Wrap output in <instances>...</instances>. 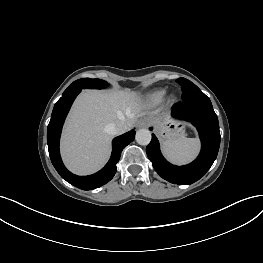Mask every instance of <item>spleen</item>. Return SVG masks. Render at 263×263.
<instances>
[{
  "label": "spleen",
  "instance_id": "spleen-1",
  "mask_svg": "<svg viewBox=\"0 0 263 263\" xmlns=\"http://www.w3.org/2000/svg\"><path fill=\"white\" fill-rule=\"evenodd\" d=\"M200 142L197 138L179 137L164 141L162 150L165 156L175 164L191 162L198 154Z\"/></svg>",
  "mask_w": 263,
  "mask_h": 263
}]
</instances>
